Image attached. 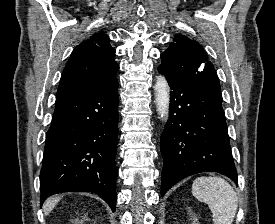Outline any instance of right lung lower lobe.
Masks as SVG:
<instances>
[{
    "instance_id": "1",
    "label": "right lung lower lobe",
    "mask_w": 275,
    "mask_h": 224,
    "mask_svg": "<svg viewBox=\"0 0 275 224\" xmlns=\"http://www.w3.org/2000/svg\"><path fill=\"white\" fill-rule=\"evenodd\" d=\"M117 80L57 99L40 172L41 204L61 192H93L116 209Z\"/></svg>"
}]
</instances>
